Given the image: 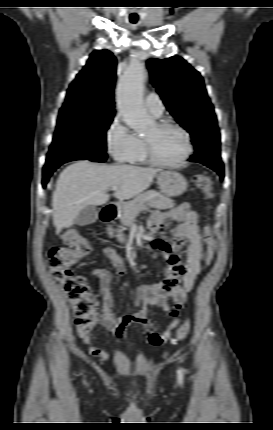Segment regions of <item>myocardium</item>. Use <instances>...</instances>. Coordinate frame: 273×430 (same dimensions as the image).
<instances>
[{
  "label": "myocardium",
  "mask_w": 273,
  "mask_h": 430,
  "mask_svg": "<svg viewBox=\"0 0 273 430\" xmlns=\"http://www.w3.org/2000/svg\"><path fill=\"white\" fill-rule=\"evenodd\" d=\"M155 126L157 129H160V130L166 129V128H173L181 132L185 138L186 148H185L184 154L178 160L172 161V162H166V161L160 160L156 156L152 143L147 138H144L147 160L153 165H156L159 167H165V168H175L183 165L193 152V145H192L190 133L183 126L172 121H167V120L159 121L155 123Z\"/></svg>",
  "instance_id": "myocardium-1"
}]
</instances>
